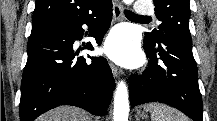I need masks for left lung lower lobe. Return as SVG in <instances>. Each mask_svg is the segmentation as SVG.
<instances>
[{
  "label": "left lung lower lobe",
  "instance_id": "left-lung-lower-lobe-1",
  "mask_svg": "<svg viewBox=\"0 0 217 121\" xmlns=\"http://www.w3.org/2000/svg\"><path fill=\"white\" fill-rule=\"evenodd\" d=\"M149 58L143 75H131L129 92L131 107L161 102L171 105L194 121H203L202 97L192 45L166 35L153 44L144 39Z\"/></svg>",
  "mask_w": 217,
  "mask_h": 121
}]
</instances>
